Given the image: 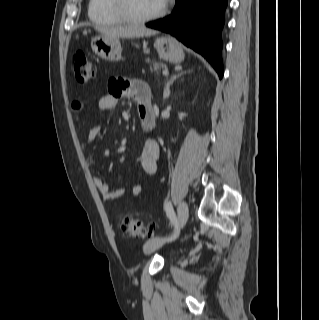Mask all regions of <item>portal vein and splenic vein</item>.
<instances>
[{"instance_id": "1", "label": "portal vein and splenic vein", "mask_w": 319, "mask_h": 320, "mask_svg": "<svg viewBox=\"0 0 319 320\" xmlns=\"http://www.w3.org/2000/svg\"><path fill=\"white\" fill-rule=\"evenodd\" d=\"M168 74H169L168 70H164V71H163V75H164V76H168Z\"/></svg>"}]
</instances>
